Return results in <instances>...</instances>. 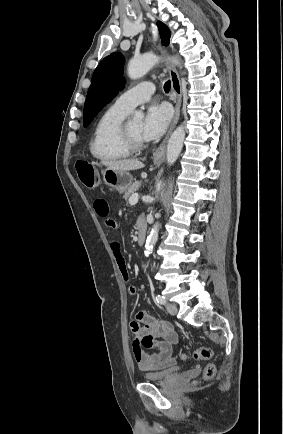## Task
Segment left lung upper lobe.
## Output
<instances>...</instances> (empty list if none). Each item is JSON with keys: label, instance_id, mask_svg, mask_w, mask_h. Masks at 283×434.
Listing matches in <instances>:
<instances>
[{"label": "left lung upper lobe", "instance_id": "obj_1", "mask_svg": "<svg viewBox=\"0 0 283 434\" xmlns=\"http://www.w3.org/2000/svg\"><path fill=\"white\" fill-rule=\"evenodd\" d=\"M157 26L162 43L167 46L170 39L169 29L160 21L157 22ZM123 65V55L112 53L105 57L95 69L84 105V127H87L98 112L118 94L119 89H123Z\"/></svg>", "mask_w": 283, "mask_h": 434}]
</instances>
